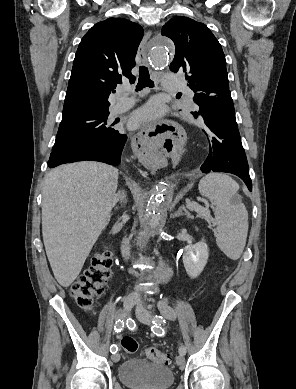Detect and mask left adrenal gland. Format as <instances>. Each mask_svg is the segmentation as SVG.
Wrapping results in <instances>:
<instances>
[{
    "mask_svg": "<svg viewBox=\"0 0 296 389\" xmlns=\"http://www.w3.org/2000/svg\"><path fill=\"white\" fill-rule=\"evenodd\" d=\"M183 209H184V207L180 206L178 208V210L173 214L172 217L175 218V217L183 216L185 214V213H183Z\"/></svg>",
    "mask_w": 296,
    "mask_h": 389,
    "instance_id": "1",
    "label": "left adrenal gland"
}]
</instances>
